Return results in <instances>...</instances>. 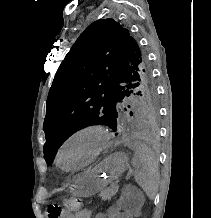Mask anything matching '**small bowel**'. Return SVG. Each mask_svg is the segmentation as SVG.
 <instances>
[{"mask_svg": "<svg viewBox=\"0 0 211 218\" xmlns=\"http://www.w3.org/2000/svg\"><path fill=\"white\" fill-rule=\"evenodd\" d=\"M138 212L124 202H117L106 212L93 214L89 209H82L76 212L74 218H134Z\"/></svg>", "mask_w": 211, "mask_h": 218, "instance_id": "1", "label": "small bowel"}]
</instances>
